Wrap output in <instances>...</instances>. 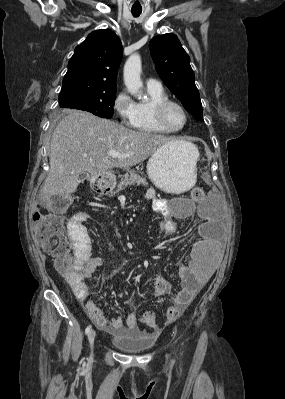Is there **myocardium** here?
<instances>
[{"label":"myocardium","instance_id":"1","mask_svg":"<svg viewBox=\"0 0 285 399\" xmlns=\"http://www.w3.org/2000/svg\"><path fill=\"white\" fill-rule=\"evenodd\" d=\"M172 106L177 107L183 114L184 122L180 127H172L167 121V111ZM154 116L158 126L169 132H176L182 130L188 121V115L185 108L180 103L171 99H167L156 104L154 107Z\"/></svg>","mask_w":285,"mask_h":399}]
</instances>
